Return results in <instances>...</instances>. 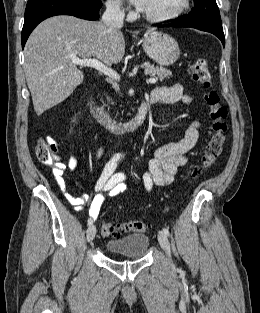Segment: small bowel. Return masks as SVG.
I'll return each instance as SVG.
<instances>
[{"instance_id": "obj_1", "label": "small bowel", "mask_w": 260, "mask_h": 313, "mask_svg": "<svg viewBox=\"0 0 260 313\" xmlns=\"http://www.w3.org/2000/svg\"><path fill=\"white\" fill-rule=\"evenodd\" d=\"M153 102L173 104L183 102L190 104L192 98L184 93L181 84L176 83L170 87L160 86L154 88L150 97ZM199 123L194 121L186 130L182 139L159 146L154 151L153 158L149 160L143 174V185L149 191L154 185L168 186L174 182L178 169L187 163V153L197 144L199 139ZM103 148H99L97 157L102 155ZM127 156V152H120L109 160L103 167L95 184L96 194L92 198L87 194L74 195L67 191L63 177L64 166H59L56 172V182L64 192L65 198L73 206L74 210L81 211L86 204H90L88 213L91 220L99 216L100 210L107 196H117L127 192V175L116 172L117 166ZM78 164V156L72 154L69 158L68 168L74 170Z\"/></svg>"}]
</instances>
